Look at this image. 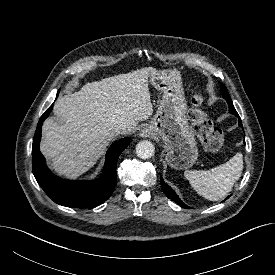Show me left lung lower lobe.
<instances>
[{"mask_svg":"<svg viewBox=\"0 0 275 275\" xmlns=\"http://www.w3.org/2000/svg\"><path fill=\"white\" fill-rule=\"evenodd\" d=\"M224 99L228 102L229 112L236 115L239 118V126L243 128L241 119H240L238 113L236 112V110L233 106V103H232V100H231L230 96L229 97H224ZM160 183H161V187H162L163 192L166 194V196L169 199H172L173 201L177 202L183 208H189L187 205H185L180 200L178 195L163 181L162 177L160 178Z\"/></svg>","mask_w":275,"mask_h":275,"instance_id":"left-lung-lower-lobe-1","label":"left lung lower lobe"}]
</instances>
